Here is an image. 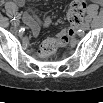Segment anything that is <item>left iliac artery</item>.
<instances>
[{
	"label": "left iliac artery",
	"mask_w": 103,
	"mask_h": 103,
	"mask_svg": "<svg viewBox=\"0 0 103 103\" xmlns=\"http://www.w3.org/2000/svg\"><path fill=\"white\" fill-rule=\"evenodd\" d=\"M86 22H90L91 21V17L88 15L85 17Z\"/></svg>",
	"instance_id": "1"
}]
</instances>
